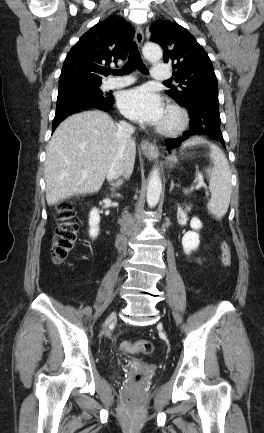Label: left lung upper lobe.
Instances as JSON below:
<instances>
[{
  "instance_id": "1",
  "label": "left lung upper lobe",
  "mask_w": 264,
  "mask_h": 433,
  "mask_svg": "<svg viewBox=\"0 0 264 433\" xmlns=\"http://www.w3.org/2000/svg\"><path fill=\"white\" fill-rule=\"evenodd\" d=\"M150 29V40L161 45L164 62L172 64L174 80L179 82V89L173 87L166 93L180 104L198 98L218 101L212 62L191 33L170 21H156Z\"/></svg>"
}]
</instances>
